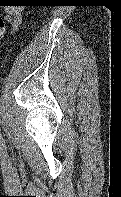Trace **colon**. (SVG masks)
Wrapping results in <instances>:
<instances>
[{
    "mask_svg": "<svg viewBox=\"0 0 121 197\" xmlns=\"http://www.w3.org/2000/svg\"><path fill=\"white\" fill-rule=\"evenodd\" d=\"M6 31V24L4 18L0 15V40L4 37Z\"/></svg>",
    "mask_w": 121,
    "mask_h": 197,
    "instance_id": "obj_1",
    "label": "colon"
}]
</instances>
